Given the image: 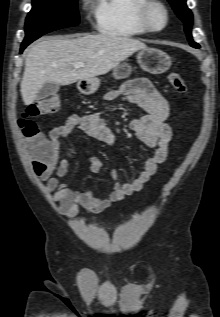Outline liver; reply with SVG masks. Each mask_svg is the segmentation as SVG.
I'll return each instance as SVG.
<instances>
[{
  "label": "liver",
  "instance_id": "obj_1",
  "mask_svg": "<svg viewBox=\"0 0 220 317\" xmlns=\"http://www.w3.org/2000/svg\"><path fill=\"white\" fill-rule=\"evenodd\" d=\"M144 48L147 46L139 40L102 34L39 41L28 49L26 56L20 85L23 102L33 103L48 82L70 85L106 74ZM80 62L85 66L74 70V65Z\"/></svg>",
  "mask_w": 220,
  "mask_h": 317
}]
</instances>
